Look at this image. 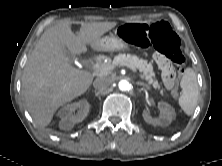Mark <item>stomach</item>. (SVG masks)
I'll list each match as a JSON object with an SVG mask.
<instances>
[{
	"label": "stomach",
	"mask_w": 222,
	"mask_h": 166,
	"mask_svg": "<svg viewBox=\"0 0 222 166\" xmlns=\"http://www.w3.org/2000/svg\"><path fill=\"white\" fill-rule=\"evenodd\" d=\"M96 50L99 51H120L128 49V44L115 33L114 35H109L100 38L97 42Z\"/></svg>",
	"instance_id": "1"
}]
</instances>
